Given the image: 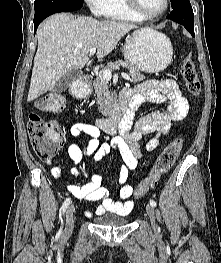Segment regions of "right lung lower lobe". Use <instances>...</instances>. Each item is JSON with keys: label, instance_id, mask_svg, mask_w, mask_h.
<instances>
[{"label": "right lung lower lobe", "instance_id": "1", "mask_svg": "<svg viewBox=\"0 0 221 263\" xmlns=\"http://www.w3.org/2000/svg\"><path fill=\"white\" fill-rule=\"evenodd\" d=\"M82 6H74V7H65V8H57L53 9L39 15L34 16V32H36L38 25L49 15L59 12H71L80 9Z\"/></svg>", "mask_w": 221, "mask_h": 263}]
</instances>
